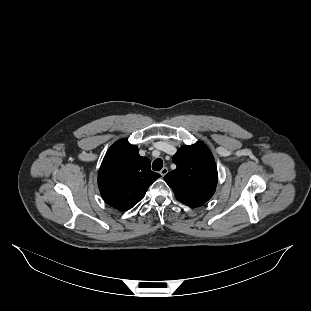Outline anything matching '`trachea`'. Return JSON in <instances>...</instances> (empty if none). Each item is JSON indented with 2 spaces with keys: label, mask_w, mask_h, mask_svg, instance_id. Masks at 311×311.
<instances>
[{
  "label": "trachea",
  "mask_w": 311,
  "mask_h": 311,
  "mask_svg": "<svg viewBox=\"0 0 311 311\" xmlns=\"http://www.w3.org/2000/svg\"><path fill=\"white\" fill-rule=\"evenodd\" d=\"M162 167H163V161L160 158L155 159L154 162L152 163V169L154 171H159L162 169Z\"/></svg>",
  "instance_id": "obj_1"
}]
</instances>
